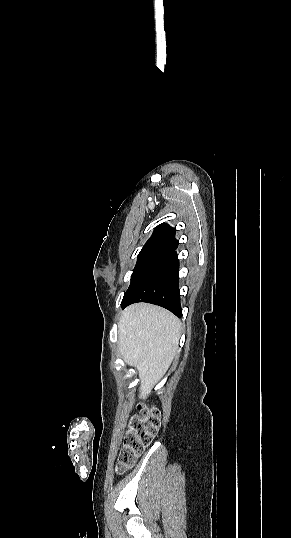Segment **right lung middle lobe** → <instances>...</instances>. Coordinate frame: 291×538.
<instances>
[{
    "label": "right lung middle lobe",
    "mask_w": 291,
    "mask_h": 538,
    "mask_svg": "<svg viewBox=\"0 0 291 538\" xmlns=\"http://www.w3.org/2000/svg\"><path fill=\"white\" fill-rule=\"evenodd\" d=\"M173 251L168 249L142 250L137 259L131 276V284L124 294L121 306L125 305L137 286L151 273V271Z\"/></svg>",
    "instance_id": "dd1d6c3e"
}]
</instances>
